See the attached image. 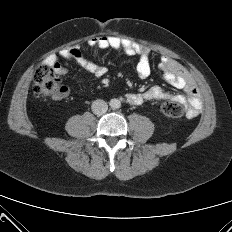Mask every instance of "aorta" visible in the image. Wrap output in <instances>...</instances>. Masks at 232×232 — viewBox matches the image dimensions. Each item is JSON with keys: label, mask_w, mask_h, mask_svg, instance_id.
Masks as SVG:
<instances>
[{"label": "aorta", "mask_w": 232, "mask_h": 232, "mask_svg": "<svg viewBox=\"0 0 232 232\" xmlns=\"http://www.w3.org/2000/svg\"><path fill=\"white\" fill-rule=\"evenodd\" d=\"M110 106L114 109H117L121 106V102L118 99H111Z\"/></svg>", "instance_id": "762f6f07"}]
</instances>
